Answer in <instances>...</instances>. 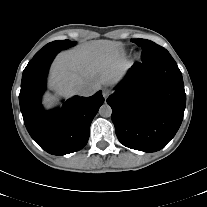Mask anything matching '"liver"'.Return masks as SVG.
I'll return each mask as SVG.
<instances>
[{
    "label": "liver",
    "mask_w": 207,
    "mask_h": 207,
    "mask_svg": "<svg viewBox=\"0 0 207 207\" xmlns=\"http://www.w3.org/2000/svg\"><path fill=\"white\" fill-rule=\"evenodd\" d=\"M130 63L120 42L96 40L60 53L49 75V85L59 94L72 96L79 84H90L100 89L102 85L117 82ZM53 97L46 95L44 103L49 106Z\"/></svg>",
    "instance_id": "1"
}]
</instances>
